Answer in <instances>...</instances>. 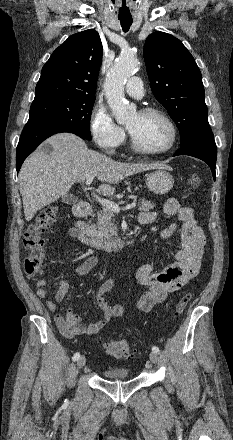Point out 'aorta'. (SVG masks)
Listing matches in <instances>:
<instances>
[{
    "label": "aorta",
    "mask_w": 233,
    "mask_h": 440,
    "mask_svg": "<svg viewBox=\"0 0 233 440\" xmlns=\"http://www.w3.org/2000/svg\"><path fill=\"white\" fill-rule=\"evenodd\" d=\"M138 67L137 60L130 53H123L106 76L104 91L107 103L117 123L123 124L136 114V106L126 101L124 85Z\"/></svg>",
    "instance_id": "1"
}]
</instances>
